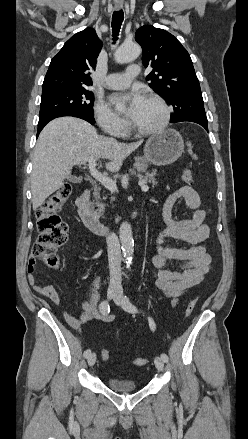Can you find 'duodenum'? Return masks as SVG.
<instances>
[{"instance_id":"410a0bca","label":"duodenum","mask_w":248,"mask_h":439,"mask_svg":"<svg viewBox=\"0 0 248 439\" xmlns=\"http://www.w3.org/2000/svg\"><path fill=\"white\" fill-rule=\"evenodd\" d=\"M78 213L84 225L93 233L104 234L111 230L109 224L100 220L101 211L99 207L91 203V190L85 189L76 201ZM139 213L134 211L131 215L132 219L137 218Z\"/></svg>"}]
</instances>
